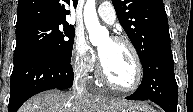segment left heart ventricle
<instances>
[{
	"instance_id": "b2bd125f",
	"label": "left heart ventricle",
	"mask_w": 193,
	"mask_h": 112,
	"mask_svg": "<svg viewBox=\"0 0 193 112\" xmlns=\"http://www.w3.org/2000/svg\"><path fill=\"white\" fill-rule=\"evenodd\" d=\"M98 49L108 77L120 86H130L135 79L136 69L129 48L108 38L100 43Z\"/></svg>"
}]
</instances>
